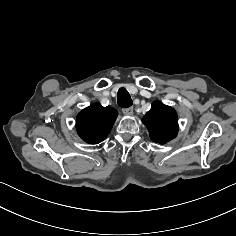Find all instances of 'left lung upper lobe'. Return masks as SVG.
<instances>
[{
    "instance_id": "5c2ea615",
    "label": "left lung upper lobe",
    "mask_w": 236,
    "mask_h": 236,
    "mask_svg": "<svg viewBox=\"0 0 236 236\" xmlns=\"http://www.w3.org/2000/svg\"><path fill=\"white\" fill-rule=\"evenodd\" d=\"M142 122L149 130L152 141L165 144L174 139L178 133V119L175 110L159 101L143 117Z\"/></svg>"
}]
</instances>
